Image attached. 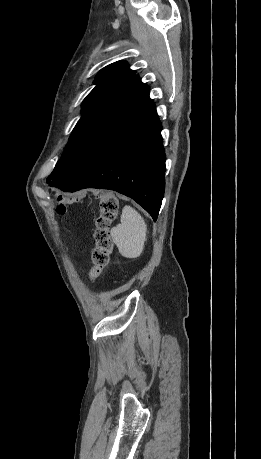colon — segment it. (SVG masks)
<instances>
[{"instance_id":"colon-1","label":"colon","mask_w":261,"mask_h":459,"mask_svg":"<svg viewBox=\"0 0 261 459\" xmlns=\"http://www.w3.org/2000/svg\"><path fill=\"white\" fill-rule=\"evenodd\" d=\"M94 195L95 190L93 188H76L73 196L57 197V211L64 214L67 205L78 202L80 197H93ZM98 197L100 199V207L94 233L95 247L91 256L92 267L89 271V279L92 282L101 275L108 263L113 247L111 228L119 212V203L113 193H100Z\"/></svg>"}]
</instances>
